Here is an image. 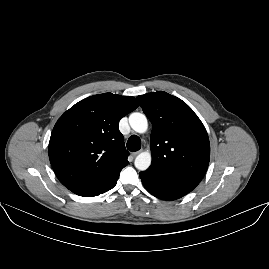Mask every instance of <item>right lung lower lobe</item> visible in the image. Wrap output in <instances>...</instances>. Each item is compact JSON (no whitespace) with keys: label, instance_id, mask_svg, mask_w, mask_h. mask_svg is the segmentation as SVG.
<instances>
[{"label":"right lung lower lobe","instance_id":"right-lung-lower-lobe-1","mask_svg":"<svg viewBox=\"0 0 269 269\" xmlns=\"http://www.w3.org/2000/svg\"><path fill=\"white\" fill-rule=\"evenodd\" d=\"M119 174H120V171L114 174L112 177L102 182L85 185V186L74 187L70 190L79 196H84V197L97 196L99 194L105 193L108 190L112 189L117 183Z\"/></svg>","mask_w":269,"mask_h":269}]
</instances>
